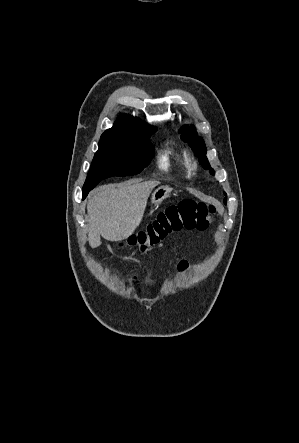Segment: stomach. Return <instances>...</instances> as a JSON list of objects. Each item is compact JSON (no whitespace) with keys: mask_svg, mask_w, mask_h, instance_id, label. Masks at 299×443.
Here are the masks:
<instances>
[{"mask_svg":"<svg viewBox=\"0 0 299 443\" xmlns=\"http://www.w3.org/2000/svg\"><path fill=\"white\" fill-rule=\"evenodd\" d=\"M172 188L169 186H160L155 189L151 195V204L153 207H158L163 200L170 197Z\"/></svg>","mask_w":299,"mask_h":443,"instance_id":"stomach-1","label":"stomach"}]
</instances>
